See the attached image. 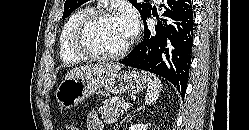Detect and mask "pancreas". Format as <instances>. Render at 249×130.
Segmentation results:
<instances>
[{
    "label": "pancreas",
    "instance_id": "obj_1",
    "mask_svg": "<svg viewBox=\"0 0 249 130\" xmlns=\"http://www.w3.org/2000/svg\"><path fill=\"white\" fill-rule=\"evenodd\" d=\"M123 102V98L119 97L108 98L103 102L98 111L105 123L113 124L123 114V110L120 109Z\"/></svg>",
    "mask_w": 249,
    "mask_h": 130
}]
</instances>
